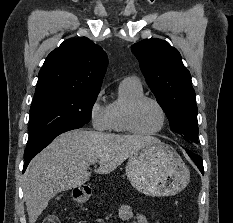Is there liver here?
<instances>
[{
  "mask_svg": "<svg viewBox=\"0 0 233 223\" xmlns=\"http://www.w3.org/2000/svg\"><path fill=\"white\" fill-rule=\"evenodd\" d=\"M158 137L116 135L102 131L72 129L61 133L31 159L23 175V193L29 223H35L50 199L59 191L80 187L88 181L92 159H98L96 173H111L127 157Z\"/></svg>",
  "mask_w": 233,
  "mask_h": 223,
  "instance_id": "obj_1",
  "label": "liver"
}]
</instances>
